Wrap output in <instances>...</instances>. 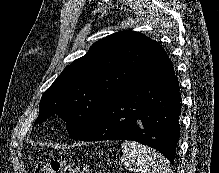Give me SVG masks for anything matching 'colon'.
<instances>
[{
    "instance_id": "obj_1",
    "label": "colon",
    "mask_w": 219,
    "mask_h": 173,
    "mask_svg": "<svg viewBox=\"0 0 219 173\" xmlns=\"http://www.w3.org/2000/svg\"><path fill=\"white\" fill-rule=\"evenodd\" d=\"M35 173H93L87 168H77L61 159L48 158L37 162Z\"/></svg>"
}]
</instances>
